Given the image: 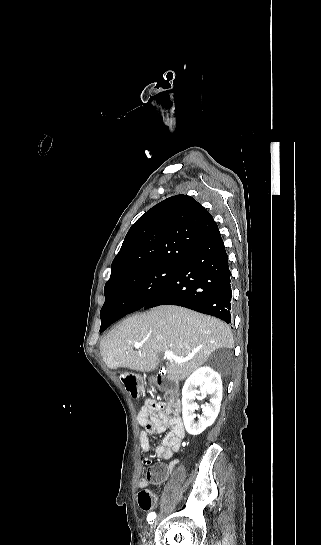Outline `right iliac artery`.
I'll return each instance as SVG.
<instances>
[{
  "label": "right iliac artery",
  "mask_w": 321,
  "mask_h": 545,
  "mask_svg": "<svg viewBox=\"0 0 321 545\" xmlns=\"http://www.w3.org/2000/svg\"><path fill=\"white\" fill-rule=\"evenodd\" d=\"M155 517H156V513H155V512H151V513H149L148 516H147V521L150 522V523H152V521H154Z\"/></svg>",
  "instance_id": "right-iliac-artery-1"
}]
</instances>
